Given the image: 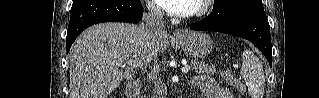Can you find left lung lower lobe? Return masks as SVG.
<instances>
[{
	"label": "left lung lower lobe",
	"mask_w": 319,
	"mask_h": 98,
	"mask_svg": "<svg viewBox=\"0 0 319 98\" xmlns=\"http://www.w3.org/2000/svg\"><path fill=\"white\" fill-rule=\"evenodd\" d=\"M198 31H216L242 37L258 47L272 65L270 26L262 4H250L218 21H202L190 25Z\"/></svg>",
	"instance_id": "left-lung-lower-lobe-1"
}]
</instances>
